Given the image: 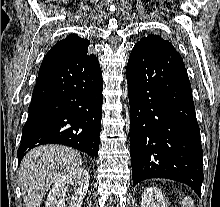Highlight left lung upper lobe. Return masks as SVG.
<instances>
[{"label":"left lung upper lobe","instance_id":"obj_1","mask_svg":"<svg viewBox=\"0 0 220 207\" xmlns=\"http://www.w3.org/2000/svg\"><path fill=\"white\" fill-rule=\"evenodd\" d=\"M136 45L176 52V49L169 41L164 40L160 36L154 34L148 35L147 37H143Z\"/></svg>","mask_w":220,"mask_h":207}]
</instances>
